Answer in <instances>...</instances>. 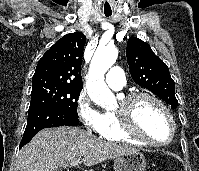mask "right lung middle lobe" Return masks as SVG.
I'll use <instances>...</instances> for the list:
<instances>
[{
	"label": "right lung middle lobe",
	"mask_w": 199,
	"mask_h": 171,
	"mask_svg": "<svg viewBox=\"0 0 199 171\" xmlns=\"http://www.w3.org/2000/svg\"><path fill=\"white\" fill-rule=\"evenodd\" d=\"M81 90V86L68 83L50 80H36L33 81L32 84L30 106L49 103L78 117L77 100Z\"/></svg>",
	"instance_id": "right-lung-middle-lobe-1"
}]
</instances>
